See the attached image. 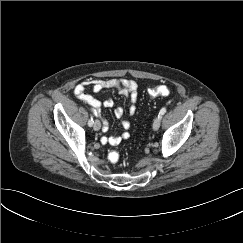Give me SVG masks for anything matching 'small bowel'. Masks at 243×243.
<instances>
[{"label":"small bowel","mask_w":243,"mask_h":243,"mask_svg":"<svg viewBox=\"0 0 243 243\" xmlns=\"http://www.w3.org/2000/svg\"><path fill=\"white\" fill-rule=\"evenodd\" d=\"M87 88H91L94 92H100L104 89H115L120 94L124 96H128L131 101V105L128 110L129 115H133L136 111V102L138 96V85L133 80L128 79H89L83 81L75 86L74 94L75 96L82 102L90 105L95 113L100 114L102 108H111L114 105V101L111 98H108L104 101H100L93 97L91 94L87 92ZM124 114V109L122 107H118L114 110V115L117 118L122 117ZM122 126L125 131L118 136H110L103 137L102 143L118 145L122 140L127 139L129 137V133L127 130L130 128V122L127 119L122 121ZM109 129V123L107 120H103V131L106 132Z\"/></svg>","instance_id":"small-bowel-1"}]
</instances>
